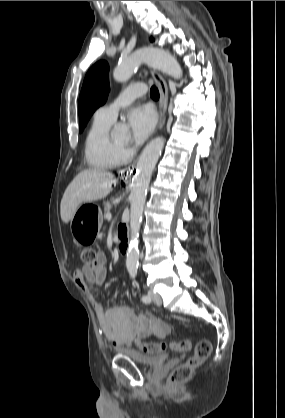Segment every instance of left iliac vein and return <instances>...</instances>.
Instances as JSON below:
<instances>
[{
  "instance_id": "1",
  "label": "left iliac vein",
  "mask_w": 285,
  "mask_h": 418,
  "mask_svg": "<svg viewBox=\"0 0 285 418\" xmlns=\"http://www.w3.org/2000/svg\"><path fill=\"white\" fill-rule=\"evenodd\" d=\"M147 295L157 305H161L162 304V300H161L160 296L158 294H155L152 290H149L148 293H147Z\"/></svg>"
}]
</instances>
